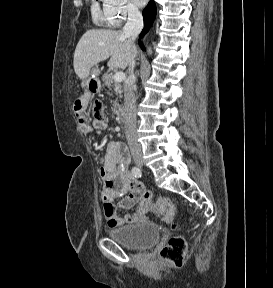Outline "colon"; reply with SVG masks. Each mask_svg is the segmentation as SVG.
<instances>
[{
	"label": "colon",
	"mask_w": 273,
	"mask_h": 288,
	"mask_svg": "<svg viewBox=\"0 0 273 288\" xmlns=\"http://www.w3.org/2000/svg\"><path fill=\"white\" fill-rule=\"evenodd\" d=\"M75 112L79 121L83 124L87 122L86 113L81 104H75ZM93 114L100 115L103 111L102 104L95 102L93 105ZM147 208L157 214L163 216L166 222H170L175 215V207L168 197H160L157 200L150 201ZM187 249V243L182 236H172L168 242L160 249L159 256L162 260L171 262L174 266L180 267L184 262Z\"/></svg>",
	"instance_id": "1"
}]
</instances>
